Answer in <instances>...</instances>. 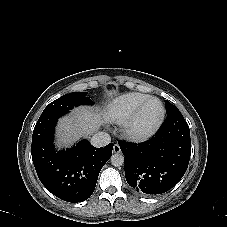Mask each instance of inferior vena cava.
I'll list each match as a JSON object with an SVG mask.
<instances>
[{
    "instance_id": "602c4592",
    "label": "inferior vena cava",
    "mask_w": 227,
    "mask_h": 227,
    "mask_svg": "<svg viewBox=\"0 0 227 227\" xmlns=\"http://www.w3.org/2000/svg\"><path fill=\"white\" fill-rule=\"evenodd\" d=\"M111 137L106 132H98L94 134L91 138V144L94 147H103L110 143Z\"/></svg>"
}]
</instances>
